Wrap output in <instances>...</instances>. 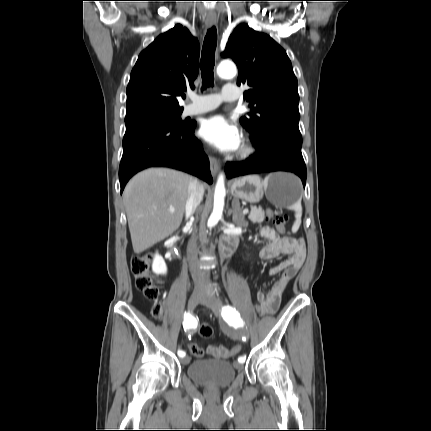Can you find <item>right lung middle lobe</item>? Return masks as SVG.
<instances>
[{
	"mask_svg": "<svg viewBox=\"0 0 431 431\" xmlns=\"http://www.w3.org/2000/svg\"><path fill=\"white\" fill-rule=\"evenodd\" d=\"M182 111L175 112H165V113H157L149 116H145L138 119L126 120V128L133 127L139 124L154 122V121H163V122H171L174 124H184L185 121H182L180 115Z\"/></svg>",
	"mask_w": 431,
	"mask_h": 431,
	"instance_id": "obj_1",
	"label": "right lung middle lobe"
}]
</instances>
